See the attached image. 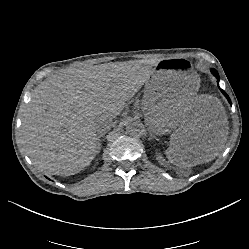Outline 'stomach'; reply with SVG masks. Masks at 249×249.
Returning <instances> with one entry per match:
<instances>
[{"instance_id":"stomach-1","label":"stomach","mask_w":249,"mask_h":249,"mask_svg":"<svg viewBox=\"0 0 249 249\" xmlns=\"http://www.w3.org/2000/svg\"><path fill=\"white\" fill-rule=\"evenodd\" d=\"M199 87V75L185 60H160L145 84L143 105L147 126L162 135L174 132L186 114L185 102L193 99Z\"/></svg>"}]
</instances>
